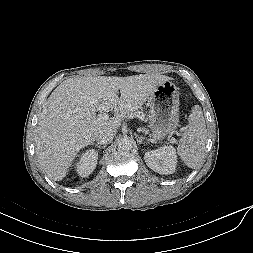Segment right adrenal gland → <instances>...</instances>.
Segmentation results:
<instances>
[{
    "mask_svg": "<svg viewBox=\"0 0 253 253\" xmlns=\"http://www.w3.org/2000/svg\"><path fill=\"white\" fill-rule=\"evenodd\" d=\"M92 144L95 145V146H96L97 148H99V149H102V148L104 149V148L106 147V145L101 146V145L95 144V143H93V142H92Z\"/></svg>",
    "mask_w": 253,
    "mask_h": 253,
    "instance_id": "2a0ac1e0",
    "label": "right adrenal gland"
}]
</instances>
